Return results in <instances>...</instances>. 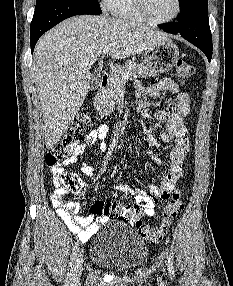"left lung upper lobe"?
I'll use <instances>...</instances> for the list:
<instances>
[{"instance_id":"1","label":"left lung upper lobe","mask_w":233,"mask_h":286,"mask_svg":"<svg viewBox=\"0 0 233 286\" xmlns=\"http://www.w3.org/2000/svg\"><path fill=\"white\" fill-rule=\"evenodd\" d=\"M207 0H179L180 15L177 20L184 19L188 16L197 6L206 3Z\"/></svg>"}]
</instances>
